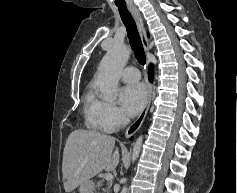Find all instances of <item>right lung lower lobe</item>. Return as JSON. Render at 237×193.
<instances>
[{
    "mask_svg": "<svg viewBox=\"0 0 237 193\" xmlns=\"http://www.w3.org/2000/svg\"><path fill=\"white\" fill-rule=\"evenodd\" d=\"M149 80L152 81L153 80V72L152 70L150 71V77H149ZM132 140V137L130 138Z\"/></svg>",
    "mask_w": 237,
    "mask_h": 193,
    "instance_id": "1",
    "label": "right lung lower lobe"
}]
</instances>
